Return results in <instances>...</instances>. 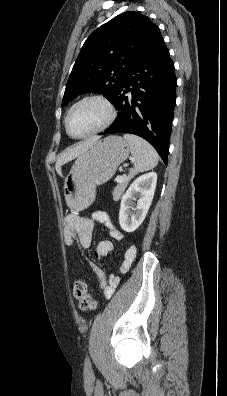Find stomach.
Returning <instances> with one entry per match:
<instances>
[{"mask_svg": "<svg viewBox=\"0 0 227 396\" xmlns=\"http://www.w3.org/2000/svg\"><path fill=\"white\" fill-rule=\"evenodd\" d=\"M130 152L129 144L119 136L94 142L82 152L64 179V196L74 210H84L95 200L96 187L110 180Z\"/></svg>", "mask_w": 227, "mask_h": 396, "instance_id": "stomach-1", "label": "stomach"}]
</instances>
